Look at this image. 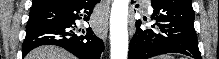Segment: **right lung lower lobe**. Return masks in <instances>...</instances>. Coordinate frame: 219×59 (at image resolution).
<instances>
[{"mask_svg":"<svg viewBox=\"0 0 219 59\" xmlns=\"http://www.w3.org/2000/svg\"><path fill=\"white\" fill-rule=\"evenodd\" d=\"M100 0H66L53 4H43L32 8L30 14L52 13L54 20L26 29V37L22 46L23 57L32 49L41 45H57L68 50L79 59H100L104 50L103 41L88 28L83 34L74 27L75 20L80 19L81 10L88 15V21L94 6Z\"/></svg>","mask_w":219,"mask_h":59,"instance_id":"right-lung-lower-lobe-1","label":"right lung lower lobe"}]
</instances>
